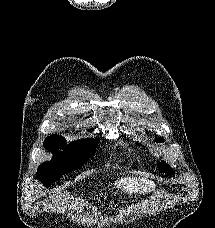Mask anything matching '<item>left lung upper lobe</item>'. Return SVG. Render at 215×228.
Returning <instances> with one entry per match:
<instances>
[{"instance_id": "5c2ea615", "label": "left lung upper lobe", "mask_w": 215, "mask_h": 228, "mask_svg": "<svg viewBox=\"0 0 215 228\" xmlns=\"http://www.w3.org/2000/svg\"><path fill=\"white\" fill-rule=\"evenodd\" d=\"M157 142H163L162 138H157L155 139ZM138 145H140L138 143ZM158 168L162 171V172H167L169 174L173 173V171L171 170V168L169 167V165H167L164 161L159 162L158 163Z\"/></svg>"}]
</instances>
